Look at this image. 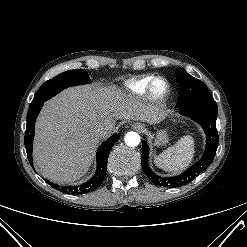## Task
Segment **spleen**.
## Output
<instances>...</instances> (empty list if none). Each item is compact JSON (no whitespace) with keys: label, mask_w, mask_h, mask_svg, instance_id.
<instances>
[{"label":"spleen","mask_w":247,"mask_h":247,"mask_svg":"<svg viewBox=\"0 0 247 247\" xmlns=\"http://www.w3.org/2000/svg\"><path fill=\"white\" fill-rule=\"evenodd\" d=\"M194 139L190 135L181 137L178 142L154 158L157 167L169 171L180 172L186 169L194 157Z\"/></svg>","instance_id":"1"}]
</instances>
